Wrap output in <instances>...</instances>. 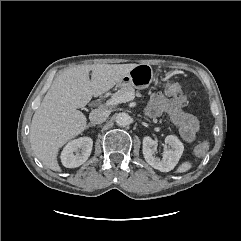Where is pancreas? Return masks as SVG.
I'll list each match as a JSON object with an SVG mask.
<instances>
[{"instance_id":"cf45deb5","label":"pancreas","mask_w":241,"mask_h":241,"mask_svg":"<svg viewBox=\"0 0 241 241\" xmlns=\"http://www.w3.org/2000/svg\"><path fill=\"white\" fill-rule=\"evenodd\" d=\"M129 92H132V93L135 92L134 87L131 86V85H128V86H125V87H121V88L114 94V96L123 95V94L129 93Z\"/></svg>"}]
</instances>
